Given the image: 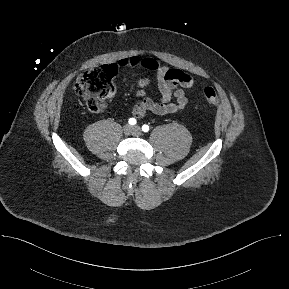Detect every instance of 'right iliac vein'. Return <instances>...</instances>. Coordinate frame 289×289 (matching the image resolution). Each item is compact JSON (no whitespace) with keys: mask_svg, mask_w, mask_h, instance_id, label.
<instances>
[{"mask_svg":"<svg viewBox=\"0 0 289 289\" xmlns=\"http://www.w3.org/2000/svg\"><path fill=\"white\" fill-rule=\"evenodd\" d=\"M123 131H124V134L130 135V134L133 133V127L130 126L129 124H126V125L123 127Z\"/></svg>","mask_w":289,"mask_h":289,"instance_id":"1","label":"right iliac vein"}]
</instances>
